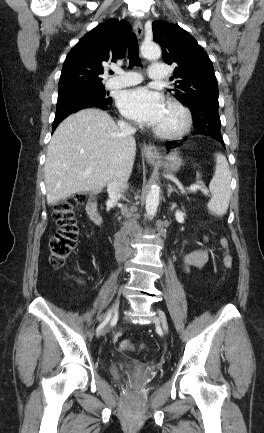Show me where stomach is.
<instances>
[{
  "label": "stomach",
  "mask_w": 264,
  "mask_h": 433,
  "mask_svg": "<svg viewBox=\"0 0 264 433\" xmlns=\"http://www.w3.org/2000/svg\"><path fill=\"white\" fill-rule=\"evenodd\" d=\"M152 165L159 164L162 166L166 172L172 173L179 170L180 166L182 165V159L179 156V153L177 151L171 152L168 155L160 156L159 157V163L148 160Z\"/></svg>",
  "instance_id": "1"
}]
</instances>
